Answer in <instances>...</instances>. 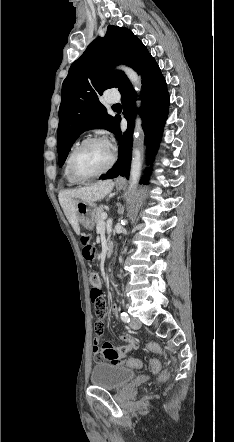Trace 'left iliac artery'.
I'll return each instance as SVG.
<instances>
[{"label":"left iliac artery","mask_w":234,"mask_h":442,"mask_svg":"<svg viewBox=\"0 0 234 442\" xmlns=\"http://www.w3.org/2000/svg\"><path fill=\"white\" fill-rule=\"evenodd\" d=\"M121 319L124 322H130V318H129V316H128V314L126 312H122L121 313Z\"/></svg>","instance_id":"left-iliac-artery-1"}]
</instances>
